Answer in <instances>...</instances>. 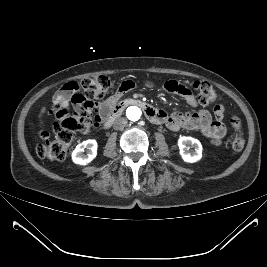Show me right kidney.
<instances>
[{
	"label": "right kidney",
	"instance_id": "obj_1",
	"mask_svg": "<svg viewBox=\"0 0 267 267\" xmlns=\"http://www.w3.org/2000/svg\"><path fill=\"white\" fill-rule=\"evenodd\" d=\"M86 152V154H84ZM97 155V142L94 139H88L78 144L72 152V160L79 165L90 163Z\"/></svg>",
	"mask_w": 267,
	"mask_h": 267
}]
</instances>
